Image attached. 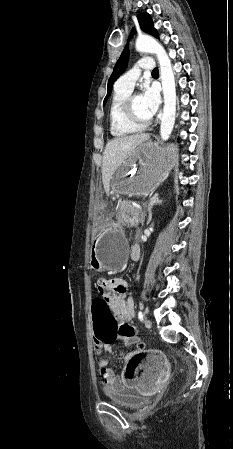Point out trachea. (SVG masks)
<instances>
[{
	"mask_svg": "<svg viewBox=\"0 0 233 449\" xmlns=\"http://www.w3.org/2000/svg\"><path fill=\"white\" fill-rule=\"evenodd\" d=\"M152 74H158V68L153 69Z\"/></svg>",
	"mask_w": 233,
	"mask_h": 449,
	"instance_id": "1",
	"label": "trachea"
}]
</instances>
